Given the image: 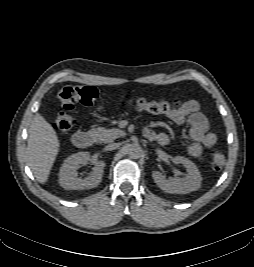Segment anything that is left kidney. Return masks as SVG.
<instances>
[{
	"label": "left kidney",
	"instance_id": "1",
	"mask_svg": "<svg viewBox=\"0 0 254 267\" xmlns=\"http://www.w3.org/2000/svg\"><path fill=\"white\" fill-rule=\"evenodd\" d=\"M173 161L176 164H182L186 168L187 174L183 178L166 179L159 171H153L152 177L157 186L171 194H186L198 190L202 177L197 166L183 156H176Z\"/></svg>",
	"mask_w": 254,
	"mask_h": 267
}]
</instances>
